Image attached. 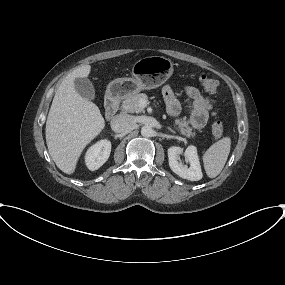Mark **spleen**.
<instances>
[{
  "instance_id": "3e777b00",
  "label": "spleen",
  "mask_w": 285,
  "mask_h": 285,
  "mask_svg": "<svg viewBox=\"0 0 285 285\" xmlns=\"http://www.w3.org/2000/svg\"><path fill=\"white\" fill-rule=\"evenodd\" d=\"M231 148L230 137H223L212 144L203 154V163L209 178L218 176L225 166Z\"/></svg>"
}]
</instances>
